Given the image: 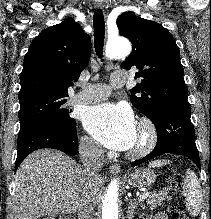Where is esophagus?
<instances>
[{
  "label": "esophagus",
  "mask_w": 211,
  "mask_h": 219,
  "mask_svg": "<svg viewBox=\"0 0 211 219\" xmlns=\"http://www.w3.org/2000/svg\"><path fill=\"white\" fill-rule=\"evenodd\" d=\"M103 7H104L103 4L95 5L96 9H102ZM109 169L111 173H117L120 171V166L118 164H111Z\"/></svg>",
  "instance_id": "esophagus-1"
}]
</instances>
